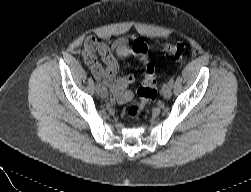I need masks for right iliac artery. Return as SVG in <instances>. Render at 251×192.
I'll use <instances>...</instances> for the list:
<instances>
[{
    "label": "right iliac artery",
    "mask_w": 251,
    "mask_h": 192,
    "mask_svg": "<svg viewBox=\"0 0 251 192\" xmlns=\"http://www.w3.org/2000/svg\"><path fill=\"white\" fill-rule=\"evenodd\" d=\"M100 89H101V85L97 83L96 84V91L99 93Z\"/></svg>",
    "instance_id": "obj_1"
}]
</instances>
